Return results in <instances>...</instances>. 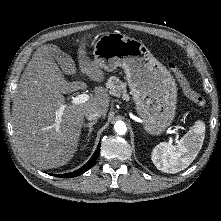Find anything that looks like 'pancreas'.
I'll return each instance as SVG.
<instances>
[{
	"label": "pancreas",
	"instance_id": "cf45deb5",
	"mask_svg": "<svg viewBox=\"0 0 221 221\" xmlns=\"http://www.w3.org/2000/svg\"><path fill=\"white\" fill-rule=\"evenodd\" d=\"M106 87L110 94L116 96L122 95L124 99L128 98L126 83L122 82L119 78L115 76L110 77L106 83Z\"/></svg>",
	"mask_w": 221,
	"mask_h": 221
}]
</instances>
